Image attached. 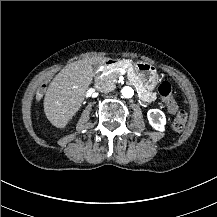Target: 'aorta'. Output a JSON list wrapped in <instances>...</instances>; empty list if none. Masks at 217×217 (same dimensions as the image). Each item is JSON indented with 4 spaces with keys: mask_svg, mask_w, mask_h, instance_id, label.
Here are the masks:
<instances>
[{
    "mask_svg": "<svg viewBox=\"0 0 217 217\" xmlns=\"http://www.w3.org/2000/svg\"><path fill=\"white\" fill-rule=\"evenodd\" d=\"M122 95L124 98H132L134 95V90L130 86H125L122 89Z\"/></svg>",
    "mask_w": 217,
    "mask_h": 217,
    "instance_id": "aorta-1",
    "label": "aorta"
}]
</instances>
